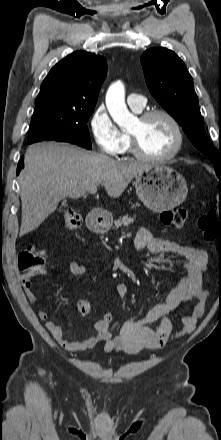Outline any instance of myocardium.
I'll list each match as a JSON object with an SVG mask.
<instances>
[{"label":"myocardium","mask_w":221,"mask_h":440,"mask_svg":"<svg viewBox=\"0 0 221 440\" xmlns=\"http://www.w3.org/2000/svg\"><path fill=\"white\" fill-rule=\"evenodd\" d=\"M155 116H162V117L166 118L171 123V125L174 129L175 136H176V142H175V146L173 147L171 152L166 155H163V156L148 155V154L144 153L142 151V149L140 148L137 138L130 133L129 139H130L131 150H132L133 155L140 160L148 161V162H158V163L166 162V161L173 159L174 157H176L179 154V152L181 151V149L183 147L184 135H183V131H182L181 125L178 122V120L169 111H167L165 109L148 110L139 116V120L146 121V120H149Z\"/></svg>","instance_id":"obj_1"}]
</instances>
